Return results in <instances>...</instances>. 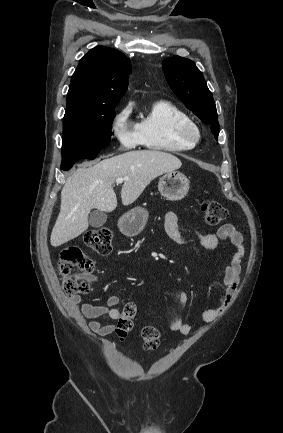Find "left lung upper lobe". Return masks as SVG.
I'll return each mask as SVG.
<instances>
[{"instance_id": "1", "label": "left lung upper lobe", "mask_w": 283, "mask_h": 433, "mask_svg": "<svg viewBox=\"0 0 283 433\" xmlns=\"http://www.w3.org/2000/svg\"><path fill=\"white\" fill-rule=\"evenodd\" d=\"M165 78L178 98L205 124H211L215 139L220 131L212 93L203 74L190 59L174 56L162 62Z\"/></svg>"}]
</instances>
